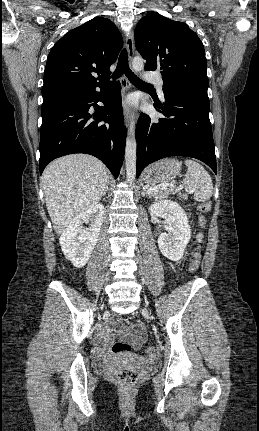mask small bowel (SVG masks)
<instances>
[{
    "instance_id": "1",
    "label": "small bowel",
    "mask_w": 259,
    "mask_h": 431,
    "mask_svg": "<svg viewBox=\"0 0 259 431\" xmlns=\"http://www.w3.org/2000/svg\"><path fill=\"white\" fill-rule=\"evenodd\" d=\"M198 240L202 239L201 235H198ZM119 329V324L117 322L109 323L99 334L98 344L100 349H104L107 344L112 341L113 333ZM126 339L131 343V345L138 349L144 337V329L141 326H135L132 331L125 334Z\"/></svg>"
}]
</instances>
